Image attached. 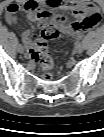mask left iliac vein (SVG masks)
<instances>
[{"label": "left iliac vein", "mask_w": 104, "mask_h": 137, "mask_svg": "<svg viewBox=\"0 0 104 137\" xmlns=\"http://www.w3.org/2000/svg\"><path fill=\"white\" fill-rule=\"evenodd\" d=\"M75 51H76L77 53H81V52L83 51V46H82L80 43H77V44L75 45Z\"/></svg>", "instance_id": "left-iliac-vein-1"}]
</instances>
